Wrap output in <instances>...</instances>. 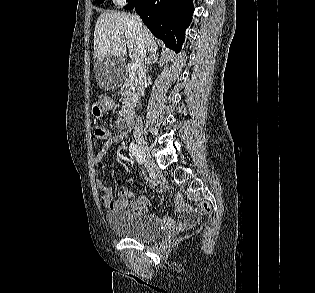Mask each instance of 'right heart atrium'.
I'll return each mask as SVG.
<instances>
[{"instance_id":"d8ad5b80","label":"right heart atrium","mask_w":315,"mask_h":293,"mask_svg":"<svg viewBox=\"0 0 315 293\" xmlns=\"http://www.w3.org/2000/svg\"><path fill=\"white\" fill-rule=\"evenodd\" d=\"M117 5L122 6L127 3L128 0H113Z\"/></svg>"}]
</instances>
